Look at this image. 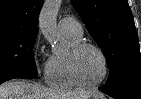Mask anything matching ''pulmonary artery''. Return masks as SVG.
Returning a JSON list of instances; mask_svg holds the SVG:
<instances>
[{"mask_svg": "<svg viewBox=\"0 0 141 99\" xmlns=\"http://www.w3.org/2000/svg\"><path fill=\"white\" fill-rule=\"evenodd\" d=\"M58 28L62 34H69L75 37H82L83 28L78 20L66 16L59 21Z\"/></svg>", "mask_w": 141, "mask_h": 99, "instance_id": "pulmonary-artery-1", "label": "pulmonary artery"}]
</instances>
